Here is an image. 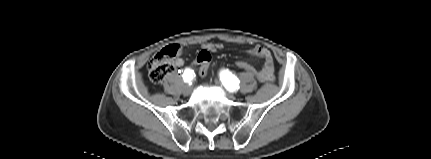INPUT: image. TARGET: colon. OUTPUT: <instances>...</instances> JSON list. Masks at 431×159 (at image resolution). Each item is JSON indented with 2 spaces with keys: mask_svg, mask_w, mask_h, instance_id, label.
Wrapping results in <instances>:
<instances>
[{
  "mask_svg": "<svg viewBox=\"0 0 431 159\" xmlns=\"http://www.w3.org/2000/svg\"><path fill=\"white\" fill-rule=\"evenodd\" d=\"M178 54L177 46H169L162 49L160 52L156 53L153 58L148 63V74L149 78L154 83H160L164 80L166 75L173 70V58ZM212 63L211 54L207 51L198 52L196 59H191L189 61V66L191 68H197L198 66V79L203 81L209 74V65ZM235 68H242L243 70H248L253 73L260 84L261 76L258 71L251 65L244 63L242 61L234 62Z\"/></svg>",
  "mask_w": 431,
  "mask_h": 159,
  "instance_id": "colon-1",
  "label": "colon"
}]
</instances>
